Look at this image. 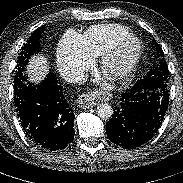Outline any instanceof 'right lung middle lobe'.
<instances>
[{
    "instance_id": "obj_1",
    "label": "right lung middle lobe",
    "mask_w": 183,
    "mask_h": 183,
    "mask_svg": "<svg viewBox=\"0 0 183 183\" xmlns=\"http://www.w3.org/2000/svg\"><path fill=\"white\" fill-rule=\"evenodd\" d=\"M45 26L37 28L29 40L24 44L22 50L20 52V56L18 57L17 65H16V75L14 79V83L17 84L20 79H22L23 72L25 70V66L28 63V60L35 52H40V37L44 31Z\"/></svg>"
}]
</instances>
